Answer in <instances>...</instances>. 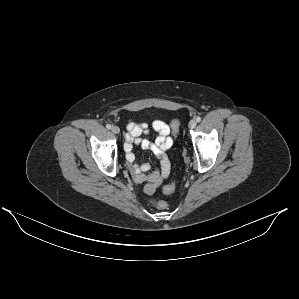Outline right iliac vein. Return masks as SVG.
<instances>
[{
  "instance_id": "right-iliac-vein-1",
  "label": "right iliac vein",
  "mask_w": 299,
  "mask_h": 299,
  "mask_svg": "<svg viewBox=\"0 0 299 299\" xmlns=\"http://www.w3.org/2000/svg\"><path fill=\"white\" fill-rule=\"evenodd\" d=\"M111 131H112L114 134H118V133L120 132V129H119L118 126H112Z\"/></svg>"
}]
</instances>
